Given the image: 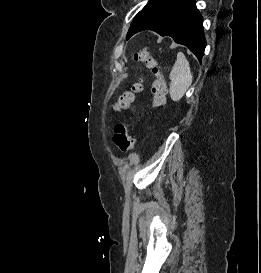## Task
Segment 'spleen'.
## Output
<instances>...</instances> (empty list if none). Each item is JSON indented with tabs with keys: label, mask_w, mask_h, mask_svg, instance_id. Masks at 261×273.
Instances as JSON below:
<instances>
[{
	"label": "spleen",
	"mask_w": 261,
	"mask_h": 273,
	"mask_svg": "<svg viewBox=\"0 0 261 273\" xmlns=\"http://www.w3.org/2000/svg\"><path fill=\"white\" fill-rule=\"evenodd\" d=\"M170 97L177 102L182 99L188 88L190 87L193 76L190 65L184 53L177 54V60L170 72Z\"/></svg>",
	"instance_id": "spleen-1"
}]
</instances>
